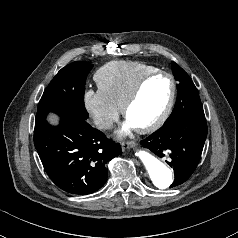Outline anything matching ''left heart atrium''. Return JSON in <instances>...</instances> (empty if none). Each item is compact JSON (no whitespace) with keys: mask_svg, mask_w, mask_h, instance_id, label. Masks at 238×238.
Returning <instances> with one entry per match:
<instances>
[{"mask_svg":"<svg viewBox=\"0 0 238 238\" xmlns=\"http://www.w3.org/2000/svg\"><path fill=\"white\" fill-rule=\"evenodd\" d=\"M134 128H135V126L127 119L124 122L122 128L118 131V134L123 135Z\"/></svg>","mask_w":238,"mask_h":238,"instance_id":"1","label":"left heart atrium"}]
</instances>
